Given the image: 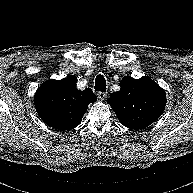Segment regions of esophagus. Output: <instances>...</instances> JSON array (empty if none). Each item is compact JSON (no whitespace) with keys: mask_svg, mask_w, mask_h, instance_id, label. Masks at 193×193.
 <instances>
[{"mask_svg":"<svg viewBox=\"0 0 193 193\" xmlns=\"http://www.w3.org/2000/svg\"><path fill=\"white\" fill-rule=\"evenodd\" d=\"M97 96H98V98H99L100 100H105L106 97H107V94L104 93V92H98V93H97Z\"/></svg>","mask_w":193,"mask_h":193,"instance_id":"34e87169","label":"esophagus"}]
</instances>
